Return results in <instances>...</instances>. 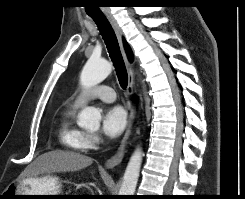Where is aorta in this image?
I'll return each mask as SVG.
<instances>
[{
  "mask_svg": "<svg viewBox=\"0 0 245 199\" xmlns=\"http://www.w3.org/2000/svg\"><path fill=\"white\" fill-rule=\"evenodd\" d=\"M111 71L112 65L108 61L91 57L83 67L80 75V83L84 88H91L106 79ZM100 120L101 114L98 109L86 107L78 115L77 123L84 128L97 129L100 126ZM142 156L143 152L140 148H137L132 154L123 176L119 195H134L139 178Z\"/></svg>",
  "mask_w": 245,
  "mask_h": 199,
  "instance_id": "762f6f07",
  "label": "aorta"
}]
</instances>
